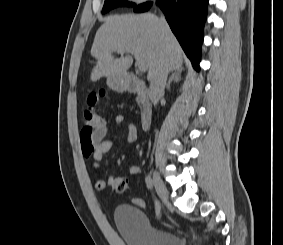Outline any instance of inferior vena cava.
I'll use <instances>...</instances> for the list:
<instances>
[{"mask_svg":"<svg viewBox=\"0 0 283 245\" xmlns=\"http://www.w3.org/2000/svg\"><path fill=\"white\" fill-rule=\"evenodd\" d=\"M160 23L163 29H169L168 24L164 18V16L160 17ZM168 68L166 65H162L158 71L155 73L153 80L151 81L149 87V97L154 105H156L159 99L164 94V89L168 76Z\"/></svg>","mask_w":283,"mask_h":245,"instance_id":"inferior-vena-cava-1","label":"inferior vena cava"}]
</instances>
